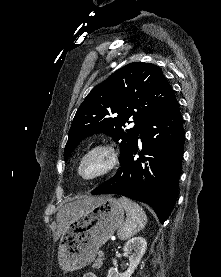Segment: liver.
Instances as JSON below:
<instances>
[{
    "label": "liver",
    "instance_id": "1",
    "mask_svg": "<svg viewBox=\"0 0 221 277\" xmlns=\"http://www.w3.org/2000/svg\"><path fill=\"white\" fill-rule=\"evenodd\" d=\"M98 199L99 197H86L63 206L56 216L58 225L57 230L54 232V240L57 241L65 232L71 218L77 215L83 208L94 205Z\"/></svg>",
    "mask_w": 221,
    "mask_h": 277
}]
</instances>
